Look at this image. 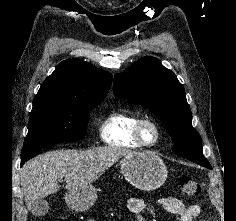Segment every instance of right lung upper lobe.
<instances>
[{
	"mask_svg": "<svg viewBox=\"0 0 236 221\" xmlns=\"http://www.w3.org/2000/svg\"><path fill=\"white\" fill-rule=\"evenodd\" d=\"M111 82L110 73L80 59H67L45 79L34 102H100Z\"/></svg>",
	"mask_w": 236,
	"mask_h": 221,
	"instance_id": "cb5924a9",
	"label": "right lung upper lobe"
}]
</instances>
